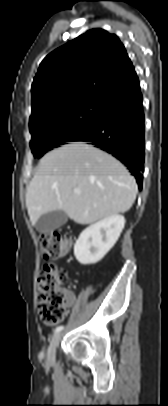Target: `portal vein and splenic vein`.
I'll return each instance as SVG.
<instances>
[{
	"instance_id": "18ae733b",
	"label": "portal vein and splenic vein",
	"mask_w": 168,
	"mask_h": 406,
	"mask_svg": "<svg viewBox=\"0 0 168 406\" xmlns=\"http://www.w3.org/2000/svg\"><path fill=\"white\" fill-rule=\"evenodd\" d=\"M74 193L80 194V189H75V190H74Z\"/></svg>"
}]
</instances>
